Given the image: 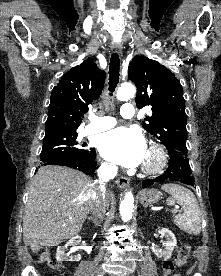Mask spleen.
I'll return each instance as SVG.
<instances>
[{
	"instance_id": "obj_1",
	"label": "spleen",
	"mask_w": 221,
	"mask_h": 276,
	"mask_svg": "<svg viewBox=\"0 0 221 276\" xmlns=\"http://www.w3.org/2000/svg\"><path fill=\"white\" fill-rule=\"evenodd\" d=\"M161 189L168 192L182 206L183 214L174 217L176 226L191 235H199L201 232V211L192 191L173 183L164 184Z\"/></svg>"
}]
</instances>
